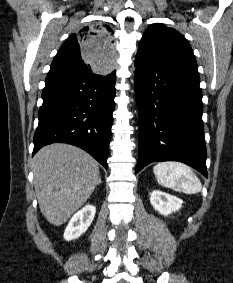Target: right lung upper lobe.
Wrapping results in <instances>:
<instances>
[{"instance_id": "cb5924a9", "label": "right lung upper lobe", "mask_w": 233, "mask_h": 283, "mask_svg": "<svg viewBox=\"0 0 233 283\" xmlns=\"http://www.w3.org/2000/svg\"><path fill=\"white\" fill-rule=\"evenodd\" d=\"M112 33L108 25H98L71 34L53 59L48 76L113 70L117 45L110 43H117V38H111Z\"/></svg>"}]
</instances>
